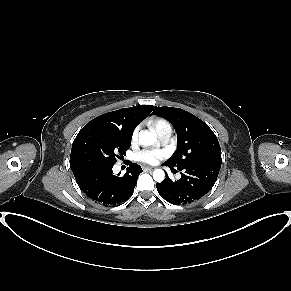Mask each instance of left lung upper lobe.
I'll return each instance as SVG.
<instances>
[{
	"label": "left lung upper lobe",
	"instance_id": "obj_1",
	"mask_svg": "<svg viewBox=\"0 0 291 291\" xmlns=\"http://www.w3.org/2000/svg\"><path fill=\"white\" fill-rule=\"evenodd\" d=\"M153 113L167 119L177 133V149L167 165L178 169L197 162L221 164L218 139L205 122L180 108L155 106Z\"/></svg>",
	"mask_w": 291,
	"mask_h": 291
}]
</instances>
